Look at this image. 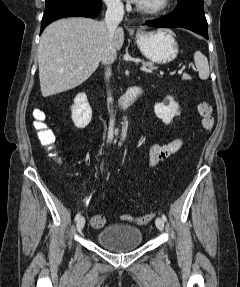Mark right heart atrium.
<instances>
[{"label": "right heart atrium", "mask_w": 240, "mask_h": 287, "mask_svg": "<svg viewBox=\"0 0 240 287\" xmlns=\"http://www.w3.org/2000/svg\"><path fill=\"white\" fill-rule=\"evenodd\" d=\"M105 4L112 9H120L123 7V0H103Z\"/></svg>", "instance_id": "right-heart-atrium-1"}]
</instances>
